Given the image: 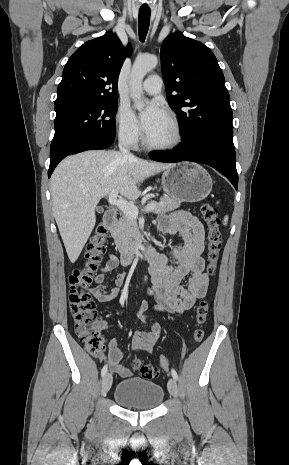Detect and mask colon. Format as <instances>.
<instances>
[{
    "mask_svg": "<svg viewBox=\"0 0 289 465\" xmlns=\"http://www.w3.org/2000/svg\"><path fill=\"white\" fill-rule=\"evenodd\" d=\"M201 215L207 226V274L213 275L222 245V233L220 231V219L217 209L210 203L204 202L201 207ZM107 245V230L103 225H98L87 245L85 261L82 267L75 269L68 277L69 283V309L74 319L75 333L84 345L85 349L93 356H98L103 351V340L95 324L97 311L95 302L88 292V287L102 260ZM208 314V303L201 301L196 307V323L194 338L201 341L205 331L203 325ZM134 367L139 370L145 379H154L159 374L157 366L144 364L139 360L134 362ZM160 366L167 369L168 362L164 356L160 357Z\"/></svg>",
    "mask_w": 289,
    "mask_h": 465,
    "instance_id": "5ec220e1",
    "label": "colon"
}]
</instances>
